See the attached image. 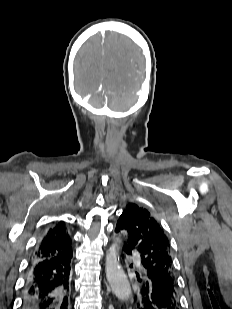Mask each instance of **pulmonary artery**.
Instances as JSON below:
<instances>
[{"mask_svg":"<svg viewBox=\"0 0 232 309\" xmlns=\"http://www.w3.org/2000/svg\"><path fill=\"white\" fill-rule=\"evenodd\" d=\"M134 256V258L136 259V260H139V257H138V255H133Z\"/></svg>","mask_w":232,"mask_h":309,"instance_id":"1","label":"pulmonary artery"}]
</instances>
